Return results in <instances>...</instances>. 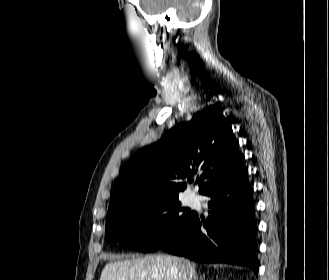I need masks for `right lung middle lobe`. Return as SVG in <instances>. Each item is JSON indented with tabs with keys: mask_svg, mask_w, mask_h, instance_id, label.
I'll use <instances>...</instances> for the list:
<instances>
[{
	"mask_svg": "<svg viewBox=\"0 0 329 280\" xmlns=\"http://www.w3.org/2000/svg\"><path fill=\"white\" fill-rule=\"evenodd\" d=\"M195 212L181 208L178 196H148L107 213L105 235L141 252H153L181 233Z\"/></svg>",
	"mask_w": 329,
	"mask_h": 280,
	"instance_id": "obj_1",
	"label": "right lung middle lobe"
}]
</instances>
